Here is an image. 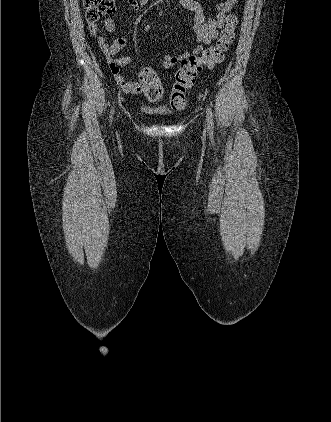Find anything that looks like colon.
Instances as JSON below:
<instances>
[{"label":"colon","mask_w":331,"mask_h":422,"mask_svg":"<svg viewBox=\"0 0 331 422\" xmlns=\"http://www.w3.org/2000/svg\"><path fill=\"white\" fill-rule=\"evenodd\" d=\"M86 19L90 23L98 22L103 16L112 13L116 7V0H83ZM238 19L234 10L229 14L227 23L220 35L208 50L200 57H189L179 64L171 93V106L175 110H182L186 106V93L193 86L196 77L203 68L211 69L224 60L225 54L235 40ZM144 96L151 101H158L164 94L163 85L157 73L144 67L138 74Z\"/></svg>","instance_id":"obj_1"}]
</instances>
